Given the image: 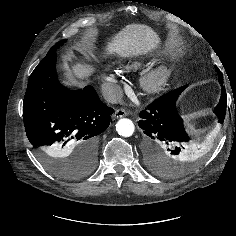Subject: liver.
Instances as JSON below:
<instances>
[{
	"label": "liver",
	"mask_w": 236,
	"mask_h": 236,
	"mask_svg": "<svg viewBox=\"0 0 236 236\" xmlns=\"http://www.w3.org/2000/svg\"><path fill=\"white\" fill-rule=\"evenodd\" d=\"M158 44L159 38L153 30L143 25L131 24L115 35L108 43L107 51L121 57H132L145 54ZM72 73L76 78H83L87 74V69L83 65L76 64Z\"/></svg>",
	"instance_id": "liver-1"
}]
</instances>
